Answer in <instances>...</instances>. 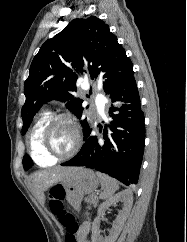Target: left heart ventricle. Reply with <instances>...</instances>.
<instances>
[{"label":"left heart ventricle","instance_id":"b2bd125f","mask_svg":"<svg viewBox=\"0 0 187 242\" xmlns=\"http://www.w3.org/2000/svg\"><path fill=\"white\" fill-rule=\"evenodd\" d=\"M75 142V135L72 127L64 122H58L51 129L47 146L52 153L64 154L71 150Z\"/></svg>","mask_w":187,"mask_h":242}]
</instances>
